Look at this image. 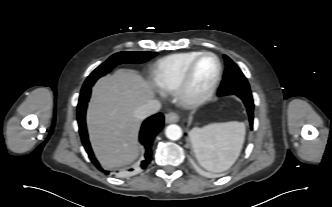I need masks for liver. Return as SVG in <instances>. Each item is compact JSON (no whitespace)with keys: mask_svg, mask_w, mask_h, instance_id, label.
Wrapping results in <instances>:
<instances>
[{"mask_svg":"<svg viewBox=\"0 0 332 207\" xmlns=\"http://www.w3.org/2000/svg\"><path fill=\"white\" fill-rule=\"evenodd\" d=\"M151 85L132 70H117L97 81L87 111L95 155L106 169L131 163L140 153V119L134 111L153 98Z\"/></svg>","mask_w":332,"mask_h":207,"instance_id":"obj_1","label":"liver"}]
</instances>
